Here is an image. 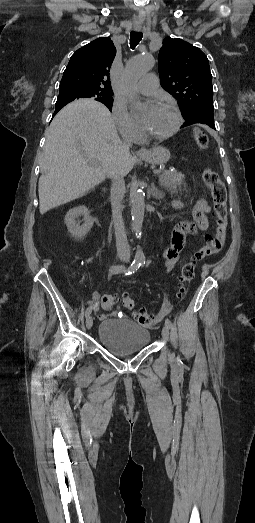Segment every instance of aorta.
<instances>
[{"mask_svg":"<svg viewBox=\"0 0 255 523\" xmlns=\"http://www.w3.org/2000/svg\"><path fill=\"white\" fill-rule=\"evenodd\" d=\"M155 64V60L151 55H139L132 58L126 65L124 84L125 90L129 100L132 103L137 102V95L133 90L135 83L147 72H149ZM132 201V225L135 230L136 237L139 238L141 235L142 223L144 219L145 211V198L143 192L135 188L131 193ZM135 259L143 261L145 259L144 253L140 246H137Z\"/></svg>","mask_w":255,"mask_h":523,"instance_id":"obj_1","label":"aorta"}]
</instances>
